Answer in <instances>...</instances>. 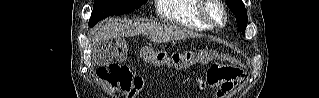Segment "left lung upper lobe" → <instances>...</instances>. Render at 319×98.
Returning <instances> with one entry per match:
<instances>
[{"label":"left lung upper lobe","instance_id":"5c2ea615","mask_svg":"<svg viewBox=\"0 0 319 98\" xmlns=\"http://www.w3.org/2000/svg\"><path fill=\"white\" fill-rule=\"evenodd\" d=\"M226 4L236 16L238 30L244 34L247 26V10L242 0H226Z\"/></svg>","mask_w":319,"mask_h":98}]
</instances>
